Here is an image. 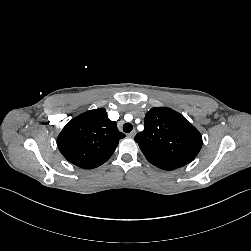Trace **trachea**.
I'll use <instances>...</instances> for the list:
<instances>
[{
  "mask_svg": "<svg viewBox=\"0 0 251 251\" xmlns=\"http://www.w3.org/2000/svg\"><path fill=\"white\" fill-rule=\"evenodd\" d=\"M132 129H133V126H132L131 123H125V124L123 125V131L126 132V133L131 132Z\"/></svg>",
  "mask_w": 251,
  "mask_h": 251,
  "instance_id": "3493384b",
  "label": "trachea"
}]
</instances>
